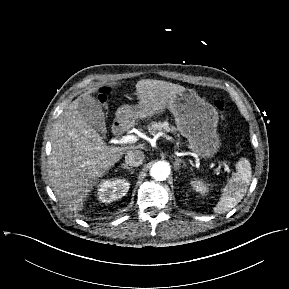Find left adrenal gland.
Masks as SVG:
<instances>
[{
  "label": "left adrenal gland",
  "instance_id": "1",
  "mask_svg": "<svg viewBox=\"0 0 289 289\" xmlns=\"http://www.w3.org/2000/svg\"><path fill=\"white\" fill-rule=\"evenodd\" d=\"M183 163V165H185L184 161L182 159L179 158H175V162H174V168L175 170H179L180 165Z\"/></svg>",
  "mask_w": 289,
  "mask_h": 289
}]
</instances>
